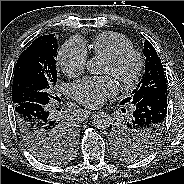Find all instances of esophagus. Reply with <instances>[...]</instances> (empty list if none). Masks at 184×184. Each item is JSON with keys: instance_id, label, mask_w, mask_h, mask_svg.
Returning <instances> with one entry per match:
<instances>
[{"instance_id": "34e87169", "label": "esophagus", "mask_w": 184, "mask_h": 184, "mask_svg": "<svg viewBox=\"0 0 184 184\" xmlns=\"http://www.w3.org/2000/svg\"><path fill=\"white\" fill-rule=\"evenodd\" d=\"M84 112H85L86 114H88V115H89V114H92V113H95V111H89V110H85Z\"/></svg>"}]
</instances>
